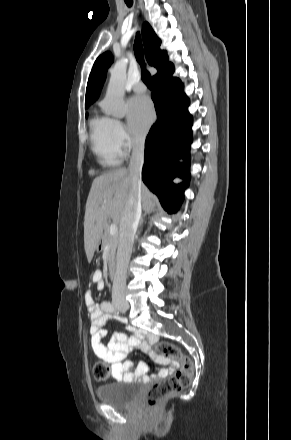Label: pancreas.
<instances>
[{
    "label": "pancreas",
    "instance_id": "cf45deb5",
    "mask_svg": "<svg viewBox=\"0 0 291 440\" xmlns=\"http://www.w3.org/2000/svg\"><path fill=\"white\" fill-rule=\"evenodd\" d=\"M103 246H108L109 249V262L113 263L115 260L116 249L118 246L119 237L118 234L111 235L109 233V225H105L104 233L102 234Z\"/></svg>",
    "mask_w": 291,
    "mask_h": 440
}]
</instances>
